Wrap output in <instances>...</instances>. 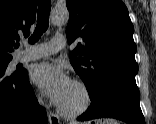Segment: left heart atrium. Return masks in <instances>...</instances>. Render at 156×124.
<instances>
[{
	"label": "left heart atrium",
	"mask_w": 156,
	"mask_h": 124,
	"mask_svg": "<svg viewBox=\"0 0 156 124\" xmlns=\"http://www.w3.org/2000/svg\"><path fill=\"white\" fill-rule=\"evenodd\" d=\"M32 80L43 88L57 105L61 103L72 84L62 67L49 63L37 65L32 72Z\"/></svg>",
	"instance_id": "1"
}]
</instances>
